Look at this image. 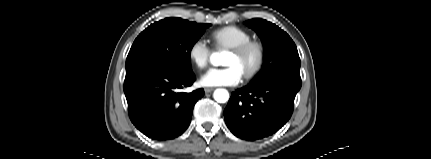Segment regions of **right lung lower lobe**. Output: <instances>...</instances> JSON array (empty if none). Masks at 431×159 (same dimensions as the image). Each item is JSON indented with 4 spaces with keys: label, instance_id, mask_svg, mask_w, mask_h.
<instances>
[{
    "label": "right lung lower lobe",
    "instance_id": "1",
    "mask_svg": "<svg viewBox=\"0 0 431 159\" xmlns=\"http://www.w3.org/2000/svg\"><path fill=\"white\" fill-rule=\"evenodd\" d=\"M195 80L193 72L178 71L160 63L126 72L124 93L132 123L153 140L165 141L183 134L204 90L191 93L178 90L191 86Z\"/></svg>",
    "mask_w": 431,
    "mask_h": 159
}]
</instances>
